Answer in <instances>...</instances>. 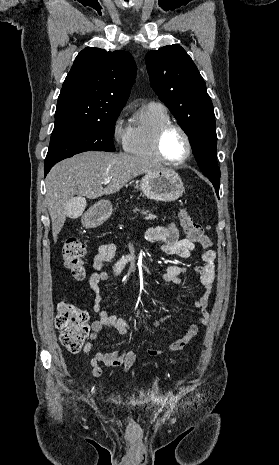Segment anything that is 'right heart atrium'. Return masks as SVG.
Returning <instances> with one entry per match:
<instances>
[{
    "label": "right heart atrium",
    "instance_id": "d8ad5b80",
    "mask_svg": "<svg viewBox=\"0 0 279 465\" xmlns=\"http://www.w3.org/2000/svg\"><path fill=\"white\" fill-rule=\"evenodd\" d=\"M129 134V128L124 125V109H122L116 116L112 126L113 139L121 144L125 145Z\"/></svg>",
    "mask_w": 279,
    "mask_h": 465
}]
</instances>
